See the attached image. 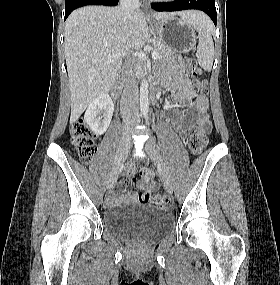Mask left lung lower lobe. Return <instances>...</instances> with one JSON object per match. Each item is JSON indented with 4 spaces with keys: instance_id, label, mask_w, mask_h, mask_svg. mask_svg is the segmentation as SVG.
I'll list each match as a JSON object with an SVG mask.
<instances>
[{
    "instance_id": "left-lung-lower-lobe-1",
    "label": "left lung lower lobe",
    "mask_w": 280,
    "mask_h": 285,
    "mask_svg": "<svg viewBox=\"0 0 280 285\" xmlns=\"http://www.w3.org/2000/svg\"><path fill=\"white\" fill-rule=\"evenodd\" d=\"M151 7L156 11L202 10L209 15L216 25L217 13L215 0H175L170 3H153Z\"/></svg>"
}]
</instances>
